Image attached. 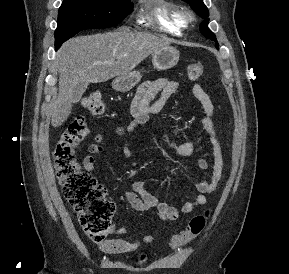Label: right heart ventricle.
<instances>
[{
    "mask_svg": "<svg viewBox=\"0 0 289 274\" xmlns=\"http://www.w3.org/2000/svg\"><path fill=\"white\" fill-rule=\"evenodd\" d=\"M138 23L174 35L182 34L186 28L179 8L166 0H148L141 10Z\"/></svg>",
    "mask_w": 289,
    "mask_h": 274,
    "instance_id": "right-heart-ventricle-1",
    "label": "right heart ventricle"
}]
</instances>
